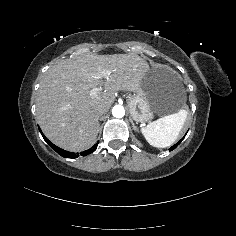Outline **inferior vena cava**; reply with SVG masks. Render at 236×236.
Returning <instances> with one entry per match:
<instances>
[{"mask_svg":"<svg viewBox=\"0 0 236 236\" xmlns=\"http://www.w3.org/2000/svg\"><path fill=\"white\" fill-rule=\"evenodd\" d=\"M95 113H96V116L98 117V119L102 114H105V112L102 109H96Z\"/></svg>","mask_w":236,"mask_h":236,"instance_id":"obj_1","label":"inferior vena cava"}]
</instances>
